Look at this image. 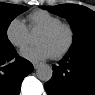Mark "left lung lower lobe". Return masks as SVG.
<instances>
[{"mask_svg":"<svg viewBox=\"0 0 95 95\" xmlns=\"http://www.w3.org/2000/svg\"><path fill=\"white\" fill-rule=\"evenodd\" d=\"M44 87L48 95H95V46L68 52Z\"/></svg>","mask_w":95,"mask_h":95,"instance_id":"obj_1","label":"left lung lower lobe"}]
</instances>
